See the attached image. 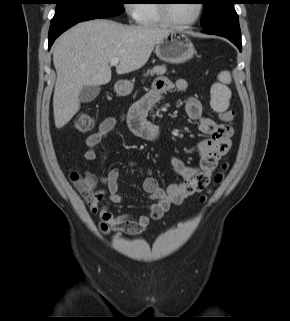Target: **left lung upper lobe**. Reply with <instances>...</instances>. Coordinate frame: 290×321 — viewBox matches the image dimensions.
Instances as JSON below:
<instances>
[{
    "mask_svg": "<svg viewBox=\"0 0 290 321\" xmlns=\"http://www.w3.org/2000/svg\"><path fill=\"white\" fill-rule=\"evenodd\" d=\"M236 0H202L204 5L202 27L209 28L236 15Z\"/></svg>",
    "mask_w": 290,
    "mask_h": 321,
    "instance_id": "1",
    "label": "left lung upper lobe"
}]
</instances>
